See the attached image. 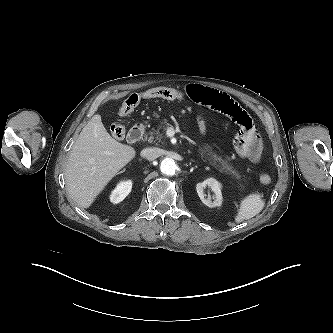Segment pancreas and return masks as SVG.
I'll list each match as a JSON object with an SVG mask.
<instances>
[{
	"label": "pancreas",
	"instance_id": "1",
	"mask_svg": "<svg viewBox=\"0 0 333 333\" xmlns=\"http://www.w3.org/2000/svg\"><path fill=\"white\" fill-rule=\"evenodd\" d=\"M169 124L167 121H164L161 125H159L158 129L154 128L148 134L145 135V140L149 143H155L156 141L160 142L162 138V134L160 133V129L168 127ZM199 153L204 156L206 160L210 162V164L214 165L220 172H224L226 174H233L236 177H239L236 171L233 169L232 165L229 164L227 159H223L221 156H218L210 146H205L204 148L199 149Z\"/></svg>",
	"mask_w": 333,
	"mask_h": 333
}]
</instances>
